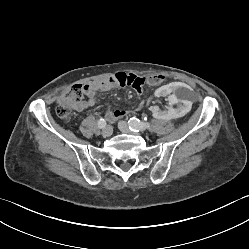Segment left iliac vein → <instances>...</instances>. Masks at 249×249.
Here are the masks:
<instances>
[{"instance_id": "left-iliac-vein-1", "label": "left iliac vein", "mask_w": 249, "mask_h": 249, "mask_svg": "<svg viewBox=\"0 0 249 249\" xmlns=\"http://www.w3.org/2000/svg\"><path fill=\"white\" fill-rule=\"evenodd\" d=\"M118 127L124 133H131L129 126L125 121H120Z\"/></svg>"}]
</instances>
